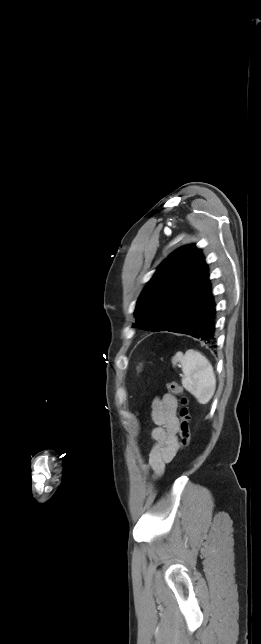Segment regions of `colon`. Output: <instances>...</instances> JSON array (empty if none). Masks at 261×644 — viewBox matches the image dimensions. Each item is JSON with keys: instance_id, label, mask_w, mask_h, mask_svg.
<instances>
[{"instance_id": "5ec220e1", "label": "colon", "mask_w": 261, "mask_h": 644, "mask_svg": "<svg viewBox=\"0 0 261 644\" xmlns=\"http://www.w3.org/2000/svg\"><path fill=\"white\" fill-rule=\"evenodd\" d=\"M168 389L175 395L182 394V388L176 381H170L167 384ZM179 435H180V447H186L191 439V430H190V413L187 407V399L185 397L181 398V408L179 411Z\"/></svg>"}]
</instances>
